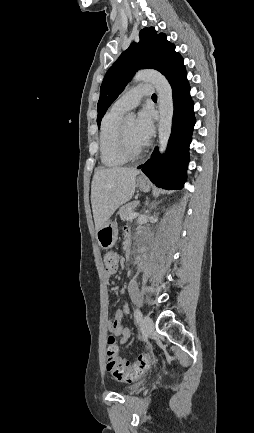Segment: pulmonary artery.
Listing matches in <instances>:
<instances>
[{
  "instance_id": "pulmonary-artery-1",
  "label": "pulmonary artery",
  "mask_w": 254,
  "mask_h": 433,
  "mask_svg": "<svg viewBox=\"0 0 254 433\" xmlns=\"http://www.w3.org/2000/svg\"><path fill=\"white\" fill-rule=\"evenodd\" d=\"M153 91L151 84H143L128 90L112 106V110L125 113L135 108L143 96L150 95Z\"/></svg>"
}]
</instances>
